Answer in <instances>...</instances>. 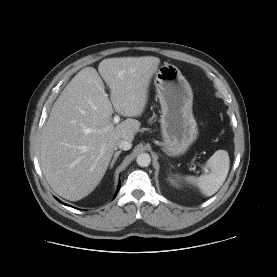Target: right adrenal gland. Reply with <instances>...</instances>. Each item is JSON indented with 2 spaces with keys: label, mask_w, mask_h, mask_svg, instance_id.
Returning a JSON list of instances; mask_svg holds the SVG:
<instances>
[{
  "label": "right adrenal gland",
  "mask_w": 277,
  "mask_h": 277,
  "mask_svg": "<svg viewBox=\"0 0 277 277\" xmlns=\"http://www.w3.org/2000/svg\"><path fill=\"white\" fill-rule=\"evenodd\" d=\"M121 152H122V150H119V151H116V152H115L114 157H113V159H112V161H111V164H110V169L113 168V165H114V163L116 162V160L118 159V157H119V155H120Z\"/></svg>",
  "instance_id": "1"
}]
</instances>
